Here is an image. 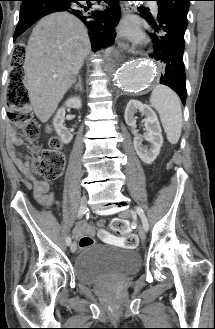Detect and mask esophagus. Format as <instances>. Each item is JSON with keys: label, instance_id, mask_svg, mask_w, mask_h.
<instances>
[{"label": "esophagus", "instance_id": "obj_1", "mask_svg": "<svg viewBox=\"0 0 215 329\" xmlns=\"http://www.w3.org/2000/svg\"><path fill=\"white\" fill-rule=\"evenodd\" d=\"M131 11H132V9L129 6V4H127V3L122 4V13H123V15L129 14V13H131ZM118 47L121 50H125V51H128V52L132 51L130 45L127 42L123 41V40L118 41Z\"/></svg>", "mask_w": 215, "mask_h": 329}]
</instances>
